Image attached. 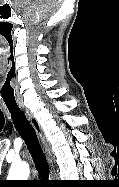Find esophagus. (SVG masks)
<instances>
[{
  "instance_id": "esophagus-1",
  "label": "esophagus",
  "mask_w": 119,
  "mask_h": 187,
  "mask_svg": "<svg viewBox=\"0 0 119 187\" xmlns=\"http://www.w3.org/2000/svg\"><path fill=\"white\" fill-rule=\"evenodd\" d=\"M20 108L25 112L28 120L30 121V123L32 124V126L34 127L40 141L41 144L43 146V149L45 151V154L47 156V160L50 164L51 167V176L54 177L55 176V169H54V163H53V155H52V151L50 148V144L48 143L44 132L42 130V127L40 126L39 122L37 121V119L35 118V116L32 114V112L26 108L25 106L21 105Z\"/></svg>"
}]
</instances>
